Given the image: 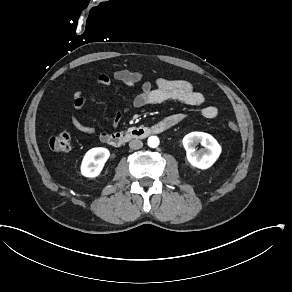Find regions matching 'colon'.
Returning a JSON list of instances; mask_svg holds the SVG:
<instances>
[{
    "instance_id": "1",
    "label": "colon",
    "mask_w": 292,
    "mask_h": 292,
    "mask_svg": "<svg viewBox=\"0 0 292 292\" xmlns=\"http://www.w3.org/2000/svg\"><path fill=\"white\" fill-rule=\"evenodd\" d=\"M227 128L231 132L238 131L237 125L232 121L227 122ZM71 144H72V136L67 131L55 132L51 135L49 139L50 150L54 153H66L70 151Z\"/></svg>"
}]
</instances>
